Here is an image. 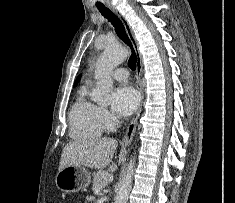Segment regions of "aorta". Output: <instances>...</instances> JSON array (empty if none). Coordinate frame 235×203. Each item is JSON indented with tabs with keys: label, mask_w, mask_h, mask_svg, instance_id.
Instances as JSON below:
<instances>
[{
	"label": "aorta",
	"mask_w": 235,
	"mask_h": 203,
	"mask_svg": "<svg viewBox=\"0 0 235 203\" xmlns=\"http://www.w3.org/2000/svg\"><path fill=\"white\" fill-rule=\"evenodd\" d=\"M128 56V50L119 43L107 45L96 63L95 78L96 88L92 93L93 100L100 105H108L110 91L113 86L111 74ZM135 158L130 160L125 176L120 183L115 197V203H127L132 188Z\"/></svg>",
	"instance_id": "1"
}]
</instances>
